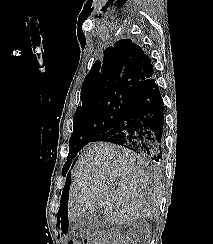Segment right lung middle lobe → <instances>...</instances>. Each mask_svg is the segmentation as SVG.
<instances>
[{
    "mask_svg": "<svg viewBox=\"0 0 213 244\" xmlns=\"http://www.w3.org/2000/svg\"><path fill=\"white\" fill-rule=\"evenodd\" d=\"M132 98L128 94H114L94 99L78 107L74 114V129L63 175H66L72 160L84 145L116 126Z\"/></svg>",
    "mask_w": 213,
    "mask_h": 244,
    "instance_id": "obj_1",
    "label": "right lung middle lobe"
}]
</instances>
